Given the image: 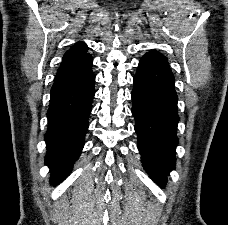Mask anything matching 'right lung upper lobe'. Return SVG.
<instances>
[{
	"instance_id": "obj_1",
	"label": "right lung upper lobe",
	"mask_w": 228,
	"mask_h": 225,
	"mask_svg": "<svg viewBox=\"0 0 228 225\" xmlns=\"http://www.w3.org/2000/svg\"><path fill=\"white\" fill-rule=\"evenodd\" d=\"M88 47L86 46L85 43L79 42L72 46L70 50H68L63 57V61H68V60H73L77 59L80 57H83L87 55L88 53L86 52Z\"/></svg>"
}]
</instances>
